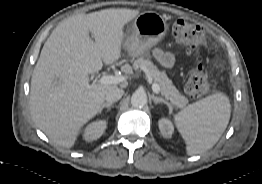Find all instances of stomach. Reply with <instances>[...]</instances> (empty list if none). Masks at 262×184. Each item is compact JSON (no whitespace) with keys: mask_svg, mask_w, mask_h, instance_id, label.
<instances>
[{"mask_svg":"<svg viewBox=\"0 0 262 184\" xmlns=\"http://www.w3.org/2000/svg\"><path fill=\"white\" fill-rule=\"evenodd\" d=\"M129 31L123 47L130 56L136 57L147 55L166 36L168 24L162 15L146 11L134 18Z\"/></svg>","mask_w":262,"mask_h":184,"instance_id":"stomach-1","label":"stomach"}]
</instances>
